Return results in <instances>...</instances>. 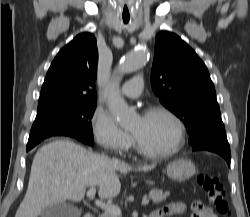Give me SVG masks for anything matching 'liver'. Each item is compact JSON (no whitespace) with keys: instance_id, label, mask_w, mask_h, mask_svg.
Returning a JSON list of instances; mask_svg holds the SVG:
<instances>
[{"instance_id":"liver-1","label":"liver","mask_w":250,"mask_h":217,"mask_svg":"<svg viewBox=\"0 0 250 217\" xmlns=\"http://www.w3.org/2000/svg\"><path fill=\"white\" fill-rule=\"evenodd\" d=\"M152 165L139 167L148 172ZM136 170V169H135ZM132 167L95 154L69 140H56L42 146L34 156L28 188L15 217H38L53 204L80 202L87 187L98 186L101 199L116 197L121 190L117 172Z\"/></svg>"}]
</instances>
